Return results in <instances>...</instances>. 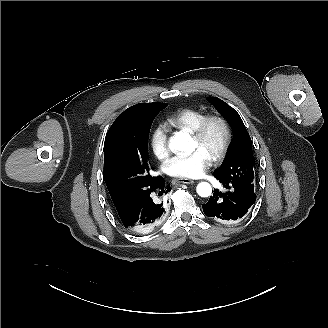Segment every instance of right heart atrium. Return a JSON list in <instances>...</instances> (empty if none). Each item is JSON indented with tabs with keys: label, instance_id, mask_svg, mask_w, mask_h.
Masks as SVG:
<instances>
[{
	"label": "right heart atrium",
	"instance_id": "d8ad5b80",
	"mask_svg": "<svg viewBox=\"0 0 328 328\" xmlns=\"http://www.w3.org/2000/svg\"><path fill=\"white\" fill-rule=\"evenodd\" d=\"M149 149L161 160L169 156L168 129L163 122H156L152 125L149 133Z\"/></svg>",
	"mask_w": 328,
	"mask_h": 328
}]
</instances>
